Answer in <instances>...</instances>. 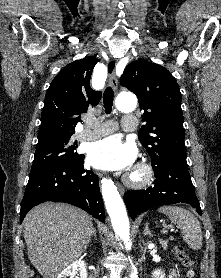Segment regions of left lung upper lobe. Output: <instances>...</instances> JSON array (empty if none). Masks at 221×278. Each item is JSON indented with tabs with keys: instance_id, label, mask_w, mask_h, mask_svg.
<instances>
[{
	"instance_id": "5c2ea615",
	"label": "left lung upper lobe",
	"mask_w": 221,
	"mask_h": 278,
	"mask_svg": "<svg viewBox=\"0 0 221 278\" xmlns=\"http://www.w3.org/2000/svg\"><path fill=\"white\" fill-rule=\"evenodd\" d=\"M121 85L134 92L144 111L138 136L153 169L173 158H186L185 130L179 85L161 65L137 60L121 76Z\"/></svg>"
}]
</instances>
